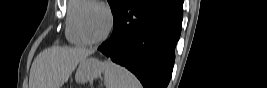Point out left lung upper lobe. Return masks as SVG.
I'll list each match as a JSON object with an SVG mask.
<instances>
[{"label": "left lung upper lobe", "instance_id": "1", "mask_svg": "<svg viewBox=\"0 0 267 88\" xmlns=\"http://www.w3.org/2000/svg\"><path fill=\"white\" fill-rule=\"evenodd\" d=\"M128 1L129 0H108L110 7H111L113 17H114V20L117 18V16L123 10V8L128 3Z\"/></svg>", "mask_w": 267, "mask_h": 88}]
</instances>
